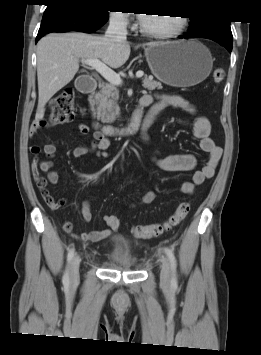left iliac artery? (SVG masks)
Masks as SVG:
<instances>
[{"label":"left iliac artery","instance_id":"44dca946","mask_svg":"<svg viewBox=\"0 0 261 355\" xmlns=\"http://www.w3.org/2000/svg\"><path fill=\"white\" fill-rule=\"evenodd\" d=\"M165 253L170 261V267H171V272H172V277H171V284L173 286H177V275H176V258L174 255V252L170 248H165Z\"/></svg>","mask_w":261,"mask_h":355}]
</instances>
